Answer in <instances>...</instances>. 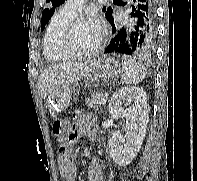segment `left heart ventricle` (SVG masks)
I'll list each match as a JSON object with an SVG mask.
<instances>
[{"label":"left heart ventricle","mask_w":197,"mask_h":181,"mask_svg":"<svg viewBox=\"0 0 197 181\" xmlns=\"http://www.w3.org/2000/svg\"><path fill=\"white\" fill-rule=\"evenodd\" d=\"M100 36L101 30L92 21L81 23L72 34L71 48L76 52H88L97 46Z\"/></svg>","instance_id":"obj_1"}]
</instances>
